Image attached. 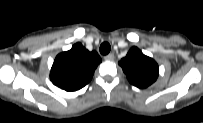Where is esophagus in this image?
I'll list each match as a JSON object with an SVG mask.
<instances>
[{"mask_svg":"<svg viewBox=\"0 0 203 123\" xmlns=\"http://www.w3.org/2000/svg\"><path fill=\"white\" fill-rule=\"evenodd\" d=\"M104 59H105L106 61H112V60H114V54L110 53V54L106 55V56L104 57Z\"/></svg>","mask_w":203,"mask_h":123,"instance_id":"esophagus-1","label":"esophagus"}]
</instances>
